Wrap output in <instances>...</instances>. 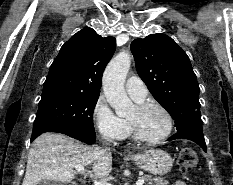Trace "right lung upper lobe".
<instances>
[{
  "label": "right lung upper lobe",
  "mask_w": 233,
  "mask_h": 185,
  "mask_svg": "<svg viewBox=\"0 0 233 185\" xmlns=\"http://www.w3.org/2000/svg\"><path fill=\"white\" fill-rule=\"evenodd\" d=\"M116 48L114 37L84 28L62 47L50 66L43 92L52 90L99 94L103 71Z\"/></svg>",
  "instance_id": "obj_1"
}]
</instances>
